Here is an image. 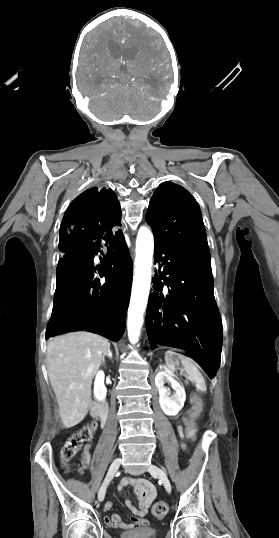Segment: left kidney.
Wrapping results in <instances>:
<instances>
[{
	"label": "left kidney",
	"instance_id": "obj_1",
	"mask_svg": "<svg viewBox=\"0 0 279 538\" xmlns=\"http://www.w3.org/2000/svg\"><path fill=\"white\" fill-rule=\"evenodd\" d=\"M174 378L173 372L167 370V368H165L164 372L159 370L155 378L156 388L159 390V404L166 416H177L186 400L183 386H180L179 382H176ZM166 382H170L172 390H175L173 396H171L169 388H165L164 384Z\"/></svg>",
	"mask_w": 279,
	"mask_h": 538
}]
</instances>
